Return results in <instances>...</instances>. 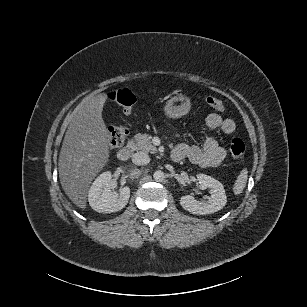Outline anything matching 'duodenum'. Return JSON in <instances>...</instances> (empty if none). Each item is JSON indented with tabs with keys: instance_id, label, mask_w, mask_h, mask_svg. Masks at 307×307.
Here are the masks:
<instances>
[{
	"instance_id": "1",
	"label": "duodenum",
	"mask_w": 307,
	"mask_h": 307,
	"mask_svg": "<svg viewBox=\"0 0 307 307\" xmlns=\"http://www.w3.org/2000/svg\"><path fill=\"white\" fill-rule=\"evenodd\" d=\"M133 151V146L131 144L126 145L125 147L121 148L118 152V158L121 161H127Z\"/></svg>"
}]
</instances>
